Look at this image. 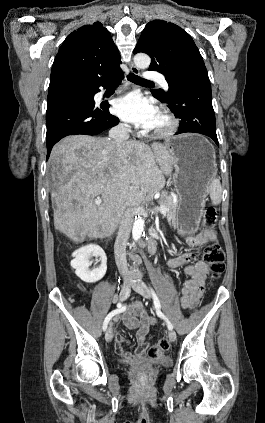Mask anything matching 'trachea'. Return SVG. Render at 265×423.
Here are the masks:
<instances>
[{"mask_svg": "<svg viewBox=\"0 0 265 423\" xmlns=\"http://www.w3.org/2000/svg\"><path fill=\"white\" fill-rule=\"evenodd\" d=\"M128 80H130L131 82L136 83V84H153V82L148 81L146 79H143V78H141V77H139V76H137L133 73H130L128 75ZM120 83H121L120 81H117V82L112 83V85H119Z\"/></svg>", "mask_w": 265, "mask_h": 423, "instance_id": "trachea-1", "label": "trachea"}]
</instances>
